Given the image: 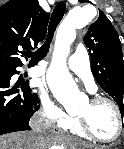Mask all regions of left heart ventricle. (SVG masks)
Listing matches in <instances>:
<instances>
[{
  "label": "left heart ventricle",
  "mask_w": 124,
  "mask_h": 149,
  "mask_svg": "<svg viewBox=\"0 0 124 149\" xmlns=\"http://www.w3.org/2000/svg\"><path fill=\"white\" fill-rule=\"evenodd\" d=\"M78 115L86 117L91 129L101 138L112 139L118 132L115 112L108 104L91 105L86 102L80 107Z\"/></svg>",
  "instance_id": "obj_1"
}]
</instances>
